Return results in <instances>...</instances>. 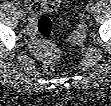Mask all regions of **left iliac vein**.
<instances>
[{
    "mask_svg": "<svg viewBox=\"0 0 111 106\" xmlns=\"http://www.w3.org/2000/svg\"><path fill=\"white\" fill-rule=\"evenodd\" d=\"M86 9H87L88 12L93 11V9H94L93 3H89V4L87 5Z\"/></svg>",
    "mask_w": 111,
    "mask_h": 106,
    "instance_id": "left-iliac-vein-1",
    "label": "left iliac vein"
}]
</instances>
